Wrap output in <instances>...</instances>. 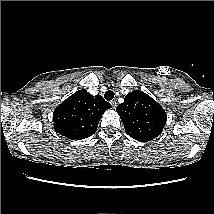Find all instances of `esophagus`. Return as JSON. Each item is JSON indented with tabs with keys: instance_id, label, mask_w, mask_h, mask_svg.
<instances>
[{
	"instance_id": "34e87169",
	"label": "esophagus",
	"mask_w": 214,
	"mask_h": 214,
	"mask_svg": "<svg viewBox=\"0 0 214 214\" xmlns=\"http://www.w3.org/2000/svg\"><path fill=\"white\" fill-rule=\"evenodd\" d=\"M110 103H111L113 108H116V106H117V101L116 100H112Z\"/></svg>"
}]
</instances>
